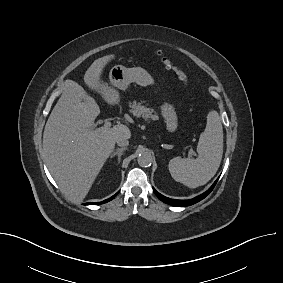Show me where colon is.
<instances>
[{
  "label": "colon",
  "mask_w": 283,
  "mask_h": 283,
  "mask_svg": "<svg viewBox=\"0 0 283 283\" xmlns=\"http://www.w3.org/2000/svg\"><path fill=\"white\" fill-rule=\"evenodd\" d=\"M162 62L165 64L167 68L175 71L180 81H182L185 85L188 83V77L183 70L175 66L168 58L163 57Z\"/></svg>",
  "instance_id": "obj_1"
}]
</instances>
